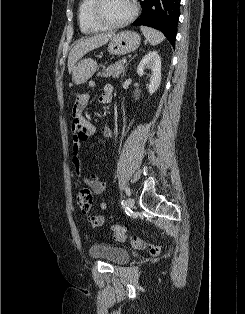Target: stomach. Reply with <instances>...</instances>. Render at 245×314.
Returning <instances> with one entry per match:
<instances>
[{
    "label": "stomach",
    "mask_w": 245,
    "mask_h": 314,
    "mask_svg": "<svg viewBox=\"0 0 245 314\" xmlns=\"http://www.w3.org/2000/svg\"><path fill=\"white\" fill-rule=\"evenodd\" d=\"M141 38L134 31H122L111 37L108 52L113 55H124L138 48ZM98 68L93 59H83L76 66L72 79L76 85L84 84L90 79Z\"/></svg>",
    "instance_id": "stomach-1"
}]
</instances>
